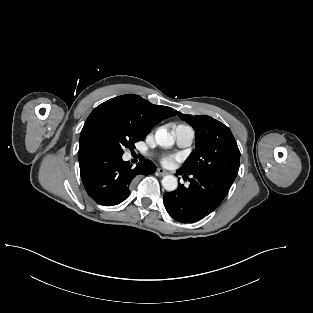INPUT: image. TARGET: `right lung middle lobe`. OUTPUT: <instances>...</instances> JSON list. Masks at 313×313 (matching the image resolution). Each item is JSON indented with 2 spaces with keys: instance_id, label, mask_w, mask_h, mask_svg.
Instances as JSON below:
<instances>
[{
  "instance_id": "right-lung-middle-lobe-1",
  "label": "right lung middle lobe",
  "mask_w": 313,
  "mask_h": 313,
  "mask_svg": "<svg viewBox=\"0 0 313 313\" xmlns=\"http://www.w3.org/2000/svg\"><path fill=\"white\" fill-rule=\"evenodd\" d=\"M145 136L128 118L111 113L101 121L97 129V151L123 155L125 148H135L134 144Z\"/></svg>"
}]
</instances>
